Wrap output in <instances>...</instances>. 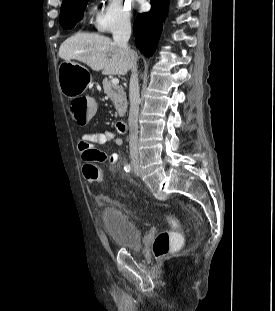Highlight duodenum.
Segmentation results:
<instances>
[{
	"label": "duodenum",
	"instance_id": "410a0bca",
	"mask_svg": "<svg viewBox=\"0 0 275 311\" xmlns=\"http://www.w3.org/2000/svg\"><path fill=\"white\" fill-rule=\"evenodd\" d=\"M116 129L120 133H125L127 131V124L124 121H118L116 123Z\"/></svg>",
	"mask_w": 275,
	"mask_h": 311
}]
</instances>
